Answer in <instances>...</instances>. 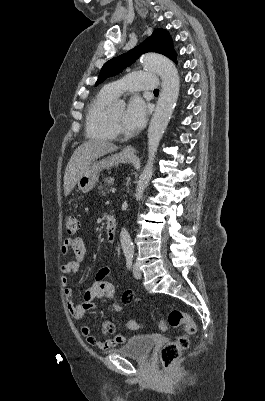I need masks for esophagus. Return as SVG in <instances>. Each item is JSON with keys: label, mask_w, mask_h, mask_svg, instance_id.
Wrapping results in <instances>:
<instances>
[{"label": "esophagus", "mask_w": 265, "mask_h": 401, "mask_svg": "<svg viewBox=\"0 0 265 401\" xmlns=\"http://www.w3.org/2000/svg\"><path fill=\"white\" fill-rule=\"evenodd\" d=\"M126 151H127L129 154L133 155V156H135L136 153H137V150H136L135 148L131 147V146H128V147L126 148Z\"/></svg>", "instance_id": "obj_1"}]
</instances>
